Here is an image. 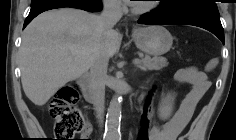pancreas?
I'll return each instance as SVG.
<instances>
[{
  "label": "pancreas",
  "instance_id": "pancreas-1",
  "mask_svg": "<svg viewBox=\"0 0 236 140\" xmlns=\"http://www.w3.org/2000/svg\"><path fill=\"white\" fill-rule=\"evenodd\" d=\"M168 65L166 58L155 56L151 58L148 55H145L143 59H141L138 67L142 68L143 70H161L162 68Z\"/></svg>",
  "mask_w": 236,
  "mask_h": 140
}]
</instances>
